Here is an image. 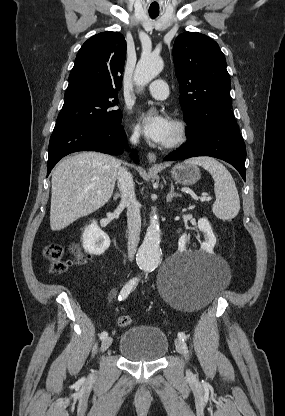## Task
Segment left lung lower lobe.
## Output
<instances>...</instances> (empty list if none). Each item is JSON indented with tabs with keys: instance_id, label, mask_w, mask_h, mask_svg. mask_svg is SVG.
Masks as SVG:
<instances>
[{
	"instance_id": "0a47b994",
	"label": "left lung lower lobe",
	"mask_w": 285,
	"mask_h": 416,
	"mask_svg": "<svg viewBox=\"0 0 285 416\" xmlns=\"http://www.w3.org/2000/svg\"><path fill=\"white\" fill-rule=\"evenodd\" d=\"M196 156H211L233 165L245 178L246 148L236 122H225L201 129L188 136L185 145L164 158L183 160Z\"/></svg>"
}]
</instances>
